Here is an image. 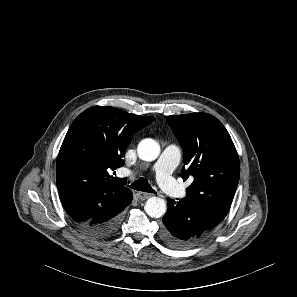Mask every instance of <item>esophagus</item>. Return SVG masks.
<instances>
[{
  "mask_svg": "<svg viewBox=\"0 0 297 297\" xmlns=\"http://www.w3.org/2000/svg\"><path fill=\"white\" fill-rule=\"evenodd\" d=\"M137 197L140 199V200H146V199H148L149 197H151L152 196V194H150V193H145V192H137Z\"/></svg>",
  "mask_w": 297,
  "mask_h": 297,
  "instance_id": "1",
  "label": "esophagus"
}]
</instances>
